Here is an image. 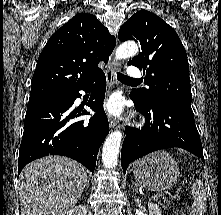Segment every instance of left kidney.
Masks as SVG:
<instances>
[{"mask_svg": "<svg viewBox=\"0 0 221 215\" xmlns=\"http://www.w3.org/2000/svg\"><path fill=\"white\" fill-rule=\"evenodd\" d=\"M135 202L137 204H139L141 202V200L139 198H136ZM148 209H149V215H162V211H161L160 207L155 203L150 202L148 204Z\"/></svg>", "mask_w": 221, "mask_h": 215, "instance_id": "1", "label": "left kidney"}]
</instances>
